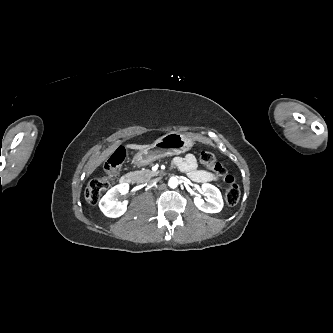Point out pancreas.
I'll use <instances>...</instances> for the list:
<instances>
[{"mask_svg": "<svg viewBox=\"0 0 333 333\" xmlns=\"http://www.w3.org/2000/svg\"><path fill=\"white\" fill-rule=\"evenodd\" d=\"M157 174H158L157 172H154L152 170L142 169L139 171H135L133 173V176L137 182L143 183V182H149L151 178L156 176Z\"/></svg>", "mask_w": 333, "mask_h": 333, "instance_id": "1", "label": "pancreas"}]
</instances>
